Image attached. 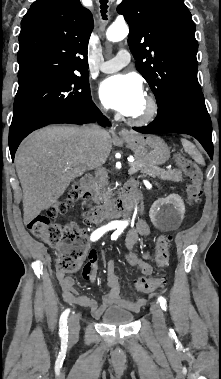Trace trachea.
I'll return each mask as SVG.
<instances>
[{
	"label": "trachea",
	"mask_w": 221,
	"mask_h": 379,
	"mask_svg": "<svg viewBox=\"0 0 221 379\" xmlns=\"http://www.w3.org/2000/svg\"><path fill=\"white\" fill-rule=\"evenodd\" d=\"M100 3H101L100 8H101L102 17L104 20H106L107 19L106 13H107V8H108V6H107L108 0H100Z\"/></svg>",
	"instance_id": "trachea-1"
}]
</instances>
